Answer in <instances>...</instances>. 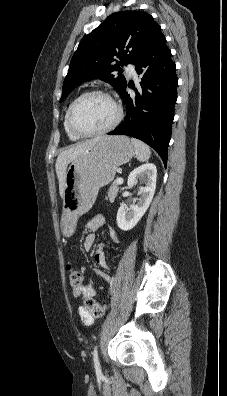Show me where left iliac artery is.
Instances as JSON below:
<instances>
[{
	"mask_svg": "<svg viewBox=\"0 0 227 396\" xmlns=\"http://www.w3.org/2000/svg\"><path fill=\"white\" fill-rule=\"evenodd\" d=\"M93 360H94V367H95L96 373L100 374L101 366H100L99 359H98L97 346H95L94 351H93Z\"/></svg>",
	"mask_w": 227,
	"mask_h": 396,
	"instance_id": "left-iliac-artery-1",
	"label": "left iliac artery"
}]
</instances>
